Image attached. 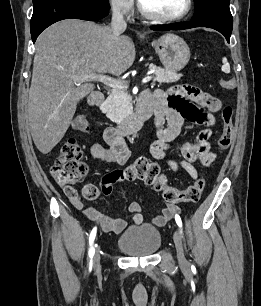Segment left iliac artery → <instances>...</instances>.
Wrapping results in <instances>:
<instances>
[{
	"mask_svg": "<svg viewBox=\"0 0 261 306\" xmlns=\"http://www.w3.org/2000/svg\"><path fill=\"white\" fill-rule=\"evenodd\" d=\"M175 221L177 223V225L182 228V220L180 218V216L178 214L175 215Z\"/></svg>",
	"mask_w": 261,
	"mask_h": 306,
	"instance_id": "obj_1",
	"label": "left iliac artery"
}]
</instances>
